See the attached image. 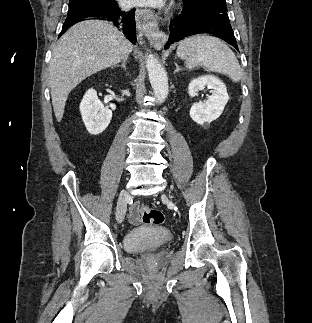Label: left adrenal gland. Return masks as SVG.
Instances as JSON below:
<instances>
[{"instance_id":"left-adrenal-gland-1","label":"left adrenal gland","mask_w":312,"mask_h":323,"mask_svg":"<svg viewBox=\"0 0 312 323\" xmlns=\"http://www.w3.org/2000/svg\"><path fill=\"white\" fill-rule=\"evenodd\" d=\"M175 66H176V70H174V74H176V72H180L181 68H179L178 64H176L175 62Z\"/></svg>"}]
</instances>
